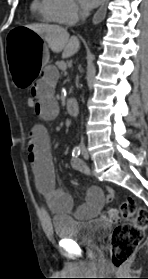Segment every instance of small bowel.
<instances>
[{
	"label": "small bowel",
	"mask_w": 148,
	"mask_h": 279,
	"mask_svg": "<svg viewBox=\"0 0 148 279\" xmlns=\"http://www.w3.org/2000/svg\"><path fill=\"white\" fill-rule=\"evenodd\" d=\"M57 80V69L47 66L41 70L39 79L31 88V94L37 99L35 113L46 121L55 119L59 114V105L54 97ZM28 159L37 187L45 195L50 208L57 213L73 212L74 203L71 195L56 186L49 137L42 125H35L30 131ZM71 166L77 172L89 174L87 165L78 158L71 159ZM113 199L114 191L111 188L104 192L98 187H91L86 194L85 202L74 211V216L78 219L93 218L106 202Z\"/></svg>",
	"instance_id": "obj_1"
}]
</instances>
